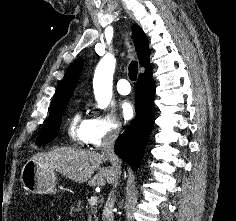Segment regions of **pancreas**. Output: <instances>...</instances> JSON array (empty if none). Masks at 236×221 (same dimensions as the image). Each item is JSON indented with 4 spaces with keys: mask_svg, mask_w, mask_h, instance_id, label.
Masks as SVG:
<instances>
[{
    "mask_svg": "<svg viewBox=\"0 0 236 221\" xmlns=\"http://www.w3.org/2000/svg\"><path fill=\"white\" fill-rule=\"evenodd\" d=\"M97 211V207L91 205L84 206L81 201L71 207V214L78 212L80 214L81 221H86L84 214L87 216V221H98Z\"/></svg>",
    "mask_w": 236,
    "mask_h": 221,
    "instance_id": "1",
    "label": "pancreas"
}]
</instances>
